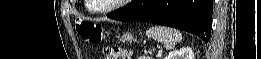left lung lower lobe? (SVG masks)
<instances>
[{"mask_svg":"<svg viewBox=\"0 0 261 59\" xmlns=\"http://www.w3.org/2000/svg\"><path fill=\"white\" fill-rule=\"evenodd\" d=\"M213 0H133L110 14L119 21L152 22L190 32L209 41Z\"/></svg>","mask_w":261,"mask_h":59,"instance_id":"0a47b994","label":"left lung lower lobe"}]
</instances>
